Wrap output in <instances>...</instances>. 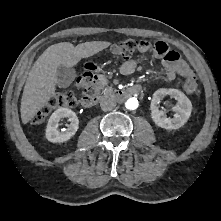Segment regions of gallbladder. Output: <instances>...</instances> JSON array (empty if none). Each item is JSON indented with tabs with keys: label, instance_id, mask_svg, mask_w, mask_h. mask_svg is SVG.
Instances as JSON below:
<instances>
[{
	"label": "gallbladder",
	"instance_id": "gallbladder-1",
	"mask_svg": "<svg viewBox=\"0 0 221 221\" xmlns=\"http://www.w3.org/2000/svg\"><path fill=\"white\" fill-rule=\"evenodd\" d=\"M76 75L74 68L60 65L57 68L56 85L60 88H66L74 81Z\"/></svg>",
	"mask_w": 221,
	"mask_h": 221
}]
</instances>
